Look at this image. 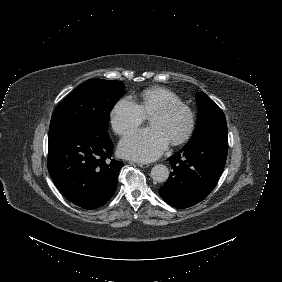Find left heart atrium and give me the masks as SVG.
Returning <instances> with one entry per match:
<instances>
[{
  "mask_svg": "<svg viewBox=\"0 0 282 282\" xmlns=\"http://www.w3.org/2000/svg\"><path fill=\"white\" fill-rule=\"evenodd\" d=\"M168 139L160 128L132 130L120 142L122 155L137 161H151L166 149Z\"/></svg>",
  "mask_w": 282,
  "mask_h": 282,
  "instance_id": "1",
  "label": "left heart atrium"
}]
</instances>
